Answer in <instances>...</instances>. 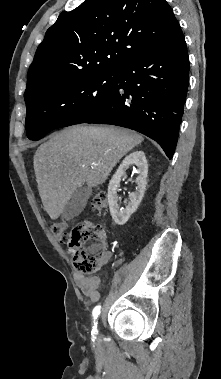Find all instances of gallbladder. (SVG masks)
I'll return each mask as SVG.
<instances>
[{
	"instance_id": "gallbladder-1",
	"label": "gallbladder",
	"mask_w": 221,
	"mask_h": 379,
	"mask_svg": "<svg viewBox=\"0 0 221 379\" xmlns=\"http://www.w3.org/2000/svg\"><path fill=\"white\" fill-rule=\"evenodd\" d=\"M91 189L87 185L77 188L62 209V218L70 220L78 216L85 208Z\"/></svg>"
}]
</instances>
